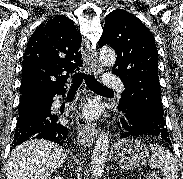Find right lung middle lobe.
<instances>
[{
	"instance_id": "dd1d6c3e",
	"label": "right lung middle lobe",
	"mask_w": 183,
	"mask_h": 179,
	"mask_svg": "<svg viewBox=\"0 0 183 179\" xmlns=\"http://www.w3.org/2000/svg\"><path fill=\"white\" fill-rule=\"evenodd\" d=\"M30 97H31V95L21 97L20 102H19V113H21L26 108V106L29 103Z\"/></svg>"
}]
</instances>
